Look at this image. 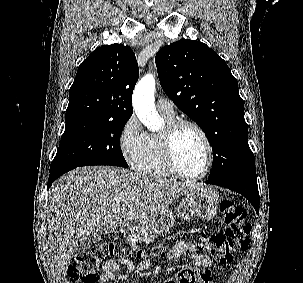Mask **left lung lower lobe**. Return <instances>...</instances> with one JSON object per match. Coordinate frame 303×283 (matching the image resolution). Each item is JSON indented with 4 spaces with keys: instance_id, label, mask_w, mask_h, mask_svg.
Masks as SVG:
<instances>
[{
    "instance_id": "1",
    "label": "left lung lower lobe",
    "mask_w": 303,
    "mask_h": 283,
    "mask_svg": "<svg viewBox=\"0 0 303 283\" xmlns=\"http://www.w3.org/2000/svg\"><path fill=\"white\" fill-rule=\"evenodd\" d=\"M206 183L229 188L242 194L259 213V192L257 186L256 172H249L230 178L209 179Z\"/></svg>"
}]
</instances>
